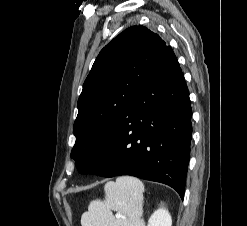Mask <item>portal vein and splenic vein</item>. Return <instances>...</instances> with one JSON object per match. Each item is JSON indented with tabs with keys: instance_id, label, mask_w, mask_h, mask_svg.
I'll return each mask as SVG.
<instances>
[{
	"instance_id": "18ae733b",
	"label": "portal vein and splenic vein",
	"mask_w": 247,
	"mask_h": 226,
	"mask_svg": "<svg viewBox=\"0 0 247 226\" xmlns=\"http://www.w3.org/2000/svg\"><path fill=\"white\" fill-rule=\"evenodd\" d=\"M116 217H117V218H120V217H121V215H120V214H117V215H116Z\"/></svg>"
}]
</instances>
